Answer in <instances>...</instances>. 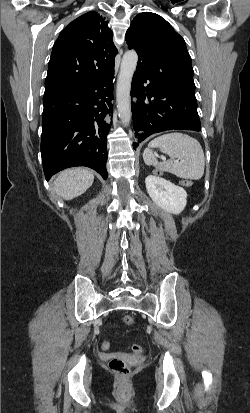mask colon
I'll use <instances>...</instances> for the list:
<instances>
[{"label": "colon", "instance_id": "obj_1", "mask_svg": "<svg viewBox=\"0 0 250 413\" xmlns=\"http://www.w3.org/2000/svg\"><path fill=\"white\" fill-rule=\"evenodd\" d=\"M152 175L154 177H163L165 175V170L163 168H154L152 170ZM176 185L178 187H188L191 185V182L188 178H178L176 180ZM120 323L124 325H132L134 323V318L130 315H125L122 318H120ZM101 348L104 350H107L110 348V343L107 341H102L101 343ZM131 349L135 353H142L144 351V347L140 344H133L131 346ZM109 369L117 375L119 378H127L130 374V368L127 364V362L120 358V357H114L112 358L109 363Z\"/></svg>", "mask_w": 250, "mask_h": 413}]
</instances>
